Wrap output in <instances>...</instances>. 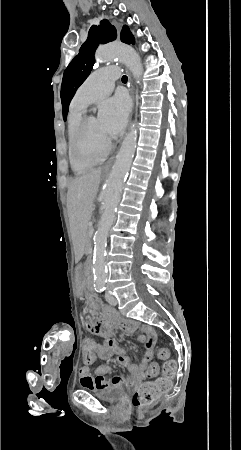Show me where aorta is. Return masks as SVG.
I'll use <instances>...</instances> for the list:
<instances>
[{"label":"aorta","instance_id":"1","mask_svg":"<svg viewBox=\"0 0 241 450\" xmlns=\"http://www.w3.org/2000/svg\"><path fill=\"white\" fill-rule=\"evenodd\" d=\"M95 58L99 63L119 59L130 69L135 79L140 80L142 77L143 70L140 56L129 45L110 43L101 46L96 51ZM136 144L137 129L136 125L132 123L106 182L103 212L94 235L93 274L96 287H103L106 284L107 237L115 219L116 208L120 202L123 185L132 164Z\"/></svg>","mask_w":241,"mask_h":450}]
</instances>
